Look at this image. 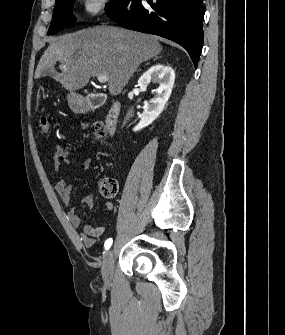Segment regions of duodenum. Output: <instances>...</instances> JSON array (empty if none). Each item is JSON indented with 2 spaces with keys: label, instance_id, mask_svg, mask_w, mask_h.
<instances>
[{
  "label": "duodenum",
  "instance_id": "1",
  "mask_svg": "<svg viewBox=\"0 0 285 335\" xmlns=\"http://www.w3.org/2000/svg\"><path fill=\"white\" fill-rule=\"evenodd\" d=\"M104 101V95L95 94L82 102V108L84 111H89L98 108L104 103ZM120 112V103L118 101H113L105 119V127L109 134H113L115 132L119 122Z\"/></svg>",
  "mask_w": 285,
  "mask_h": 335
}]
</instances>
